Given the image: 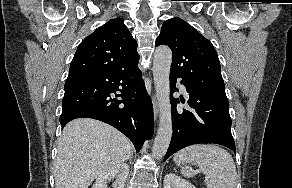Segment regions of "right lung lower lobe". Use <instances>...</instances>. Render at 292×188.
I'll return each mask as SVG.
<instances>
[{
    "label": "right lung lower lobe",
    "mask_w": 292,
    "mask_h": 188,
    "mask_svg": "<svg viewBox=\"0 0 292 188\" xmlns=\"http://www.w3.org/2000/svg\"><path fill=\"white\" fill-rule=\"evenodd\" d=\"M112 93L121 100L113 98ZM81 117L115 127L139 152L152 136L154 120L152 102L138 66L125 71L70 72L62 100V128Z\"/></svg>",
    "instance_id": "98d812e1"
}]
</instances>
